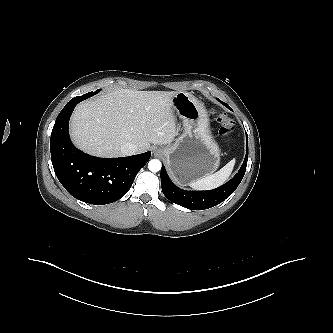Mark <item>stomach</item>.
<instances>
[{
    "instance_id": "stomach-1",
    "label": "stomach",
    "mask_w": 333,
    "mask_h": 333,
    "mask_svg": "<svg viewBox=\"0 0 333 333\" xmlns=\"http://www.w3.org/2000/svg\"><path fill=\"white\" fill-rule=\"evenodd\" d=\"M171 109L183 121L184 131L173 145L161 149L167 168L178 184L211 175L219 166L220 150L210 131L208 112L192 94L178 92Z\"/></svg>"
}]
</instances>
